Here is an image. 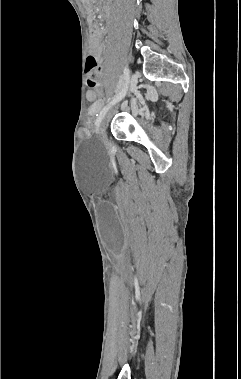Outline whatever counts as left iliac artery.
I'll return each instance as SVG.
<instances>
[{
    "label": "left iliac artery",
    "instance_id": "left-iliac-artery-1",
    "mask_svg": "<svg viewBox=\"0 0 241 379\" xmlns=\"http://www.w3.org/2000/svg\"><path fill=\"white\" fill-rule=\"evenodd\" d=\"M123 72H124V76H123V78H124V86H123L122 90L112 99V101H110L106 106L103 107V109L100 111L99 114H97V118H96V121H95V126H96L97 132H98L100 124H101L104 116L106 115L107 111L109 110V108L112 105H114L115 103H117L118 101H120L122 99V97L127 92L129 78H130V70H129V68L127 66H125Z\"/></svg>",
    "mask_w": 241,
    "mask_h": 379
}]
</instances>
